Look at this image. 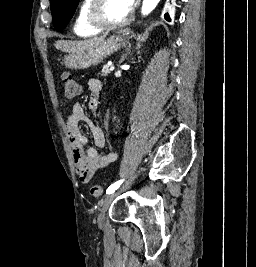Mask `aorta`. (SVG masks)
Returning <instances> with one entry per match:
<instances>
[{"instance_id": "obj_1", "label": "aorta", "mask_w": 256, "mask_h": 267, "mask_svg": "<svg viewBox=\"0 0 256 267\" xmlns=\"http://www.w3.org/2000/svg\"><path fill=\"white\" fill-rule=\"evenodd\" d=\"M160 0H143L142 6H141V14L142 16H148V14H151L153 10H155L156 6H158ZM111 122H120V117H111Z\"/></svg>"}]
</instances>
